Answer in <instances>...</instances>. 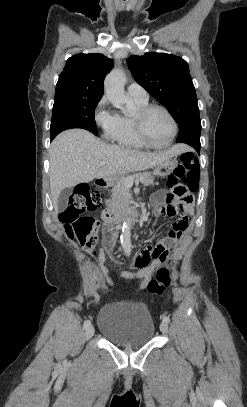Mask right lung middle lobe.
I'll use <instances>...</instances> for the list:
<instances>
[{
  "label": "right lung middle lobe",
  "instance_id": "1",
  "mask_svg": "<svg viewBox=\"0 0 247 407\" xmlns=\"http://www.w3.org/2000/svg\"><path fill=\"white\" fill-rule=\"evenodd\" d=\"M100 98H55L50 126L51 138L71 128H83L97 135L95 108Z\"/></svg>",
  "mask_w": 247,
  "mask_h": 407
}]
</instances>
